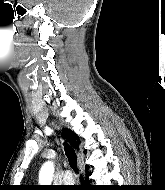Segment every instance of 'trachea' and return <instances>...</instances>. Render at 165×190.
Instances as JSON below:
<instances>
[{
  "mask_svg": "<svg viewBox=\"0 0 165 190\" xmlns=\"http://www.w3.org/2000/svg\"><path fill=\"white\" fill-rule=\"evenodd\" d=\"M66 155L68 157L69 164L71 168L78 173V167H77V156L74 152V150L69 147L68 145L65 146Z\"/></svg>",
  "mask_w": 165,
  "mask_h": 190,
  "instance_id": "obj_1",
  "label": "trachea"
}]
</instances>
